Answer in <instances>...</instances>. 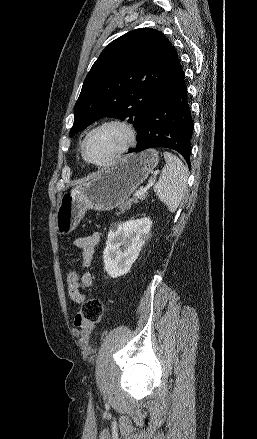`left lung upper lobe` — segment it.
<instances>
[{
	"mask_svg": "<svg viewBox=\"0 0 257 439\" xmlns=\"http://www.w3.org/2000/svg\"><path fill=\"white\" fill-rule=\"evenodd\" d=\"M176 60L171 42L155 29H136L112 41L85 78L70 137L107 116L127 118L138 142L141 122Z\"/></svg>",
	"mask_w": 257,
	"mask_h": 439,
	"instance_id": "obj_1",
	"label": "left lung upper lobe"
}]
</instances>
